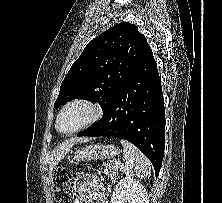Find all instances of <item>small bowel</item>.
<instances>
[{"instance_id":"obj_1","label":"small bowel","mask_w":222,"mask_h":203,"mask_svg":"<svg viewBox=\"0 0 222 203\" xmlns=\"http://www.w3.org/2000/svg\"><path fill=\"white\" fill-rule=\"evenodd\" d=\"M74 203L93 199L94 203H108L109 188L94 176L80 178L74 185Z\"/></svg>"}]
</instances>
